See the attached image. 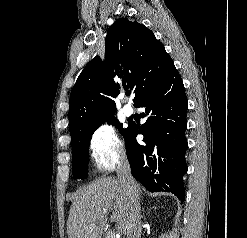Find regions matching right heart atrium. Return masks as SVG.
Returning a JSON list of instances; mask_svg holds the SVG:
<instances>
[{
	"mask_svg": "<svg viewBox=\"0 0 247 238\" xmlns=\"http://www.w3.org/2000/svg\"><path fill=\"white\" fill-rule=\"evenodd\" d=\"M90 156L99 170L108 171L124 159L125 147L116 129L110 124L99 125L89 139Z\"/></svg>",
	"mask_w": 247,
	"mask_h": 238,
	"instance_id": "right-heart-atrium-1",
	"label": "right heart atrium"
}]
</instances>
